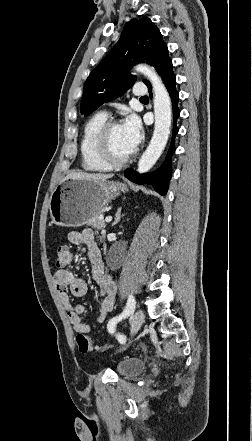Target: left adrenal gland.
Instances as JSON below:
<instances>
[{"instance_id": "left-adrenal-gland-1", "label": "left adrenal gland", "mask_w": 252, "mask_h": 441, "mask_svg": "<svg viewBox=\"0 0 252 441\" xmlns=\"http://www.w3.org/2000/svg\"><path fill=\"white\" fill-rule=\"evenodd\" d=\"M123 216H125V215L124 214L121 215V208H119L116 215H115V220H114L112 226H115L120 221L121 217H123Z\"/></svg>"}]
</instances>
